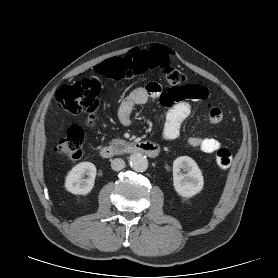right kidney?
<instances>
[{
    "mask_svg": "<svg viewBox=\"0 0 278 278\" xmlns=\"http://www.w3.org/2000/svg\"><path fill=\"white\" fill-rule=\"evenodd\" d=\"M87 176L84 179V176ZM96 167L91 162H81L71 169L65 180V188L72 194H88L94 187Z\"/></svg>",
    "mask_w": 278,
    "mask_h": 278,
    "instance_id": "right-kidney-1",
    "label": "right kidney"
}]
</instances>
